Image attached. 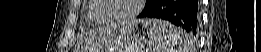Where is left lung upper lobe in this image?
Returning <instances> with one entry per match:
<instances>
[{"mask_svg": "<svg viewBox=\"0 0 261 52\" xmlns=\"http://www.w3.org/2000/svg\"><path fill=\"white\" fill-rule=\"evenodd\" d=\"M152 1L153 0H147V5L146 6L150 5L152 3Z\"/></svg>", "mask_w": 261, "mask_h": 52, "instance_id": "left-lung-upper-lobe-1", "label": "left lung upper lobe"}]
</instances>
